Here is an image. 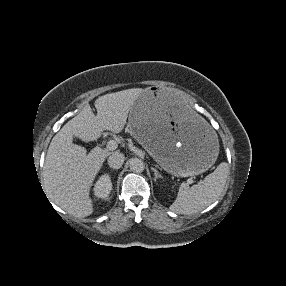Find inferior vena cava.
Here are the masks:
<instances>
[{
    "label": "inferior vena cava",
    "mask_w": 286,
    "mask_h": 286,
    "mask_svg": "<svg viewBox=\"0 0 286 286\" xmlns=\"http://www.w3.org/2000/svg\"><path fill=\"white\" fill-rule=\"evenodd\" d=\"M125 157L120 152L112 153L108 158V165L113 169H119L123 165Z\"/></svg>",
    "instance_id": "1"
}]
</instances>
